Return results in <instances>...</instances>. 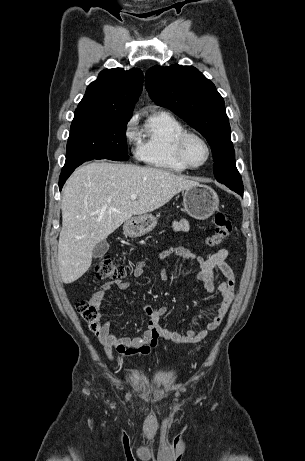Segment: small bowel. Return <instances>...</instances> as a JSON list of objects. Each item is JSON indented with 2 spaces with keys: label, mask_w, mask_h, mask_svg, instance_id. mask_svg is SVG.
Returning a JSON list of instances; mask_svg holds the SVG:
<instances>
[{
  "label": "small bowel",
  "mask_w": 305,
  "mask_h": 461,
  "mask_svg": "<svg viewBox=\"0 0 305 461\" xmlns=\"http://www.w3.org/2000/svg\"><path fill=\"white\" fill-rule=\"evenodd\" d=\"M188 228L186 220H180L174 224V229L177 231H187ZM228 255L229 252L225 248L216 251L209 257H204L183 246H171L161 250L158 254L160 260L180 257L184 260L193 261L198 265L199 272L197 278L202 283L204 289L208 293L216 292L220 297L221 303L216 315L207 318L202 324L182 333L167 329L160 324L161 317L168 312L166 306L154 307L150 304H145L144 311L147 316V328L141 336L118 337L113 333L111 325L108 322L103 323L99 327L96 335L104 347L108 359L114 360V350L126 356L148 355L158 345L159 338L177 345L196 343L206 338L209 332L217 329L227 316L235 296L236 279L233 269L227 263ZM145 267L146 263L139 261L133 270V276L135 278L143 276ZM216 269L222 272L226 278L225 281L215 282ZM159 275L163 281L168 279L165 268L159 270ZM113 285H116L122 291L130 287V283L124 280L105 282L93 294L91 301L97 305L101 304Z\"/></svg>",
  "instance_id": "c3829d8e"
}]
</instances>
